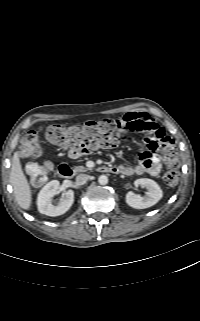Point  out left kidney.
I'll return each mask as SVG.
<instances>
[{"label": "left kidney", "mask_w": 200, "mask_h": 321, "mask_svg": "<svg viewBox=\"0 0 200 321\" xmlns=\"http://www.w3.org/2000/svg\"><path fill=\"white\" fill-rule=\"evenodd\" d=\"M135 186H142L147 189L144 197L128 192L126 194V203L135 209H145L155 205L163 196L160 186L152 179L140 178L134 182Z\"/></svg>", "instance_id": "5707ae66"}]
</instances>
